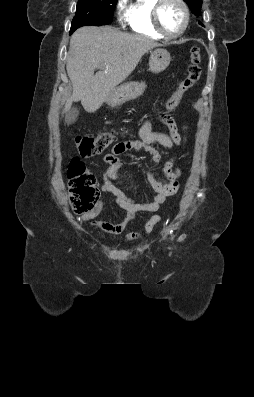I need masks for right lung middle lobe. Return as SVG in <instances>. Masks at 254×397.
<instances>
[{
	"mask_svg": "<svg viewBox=\"0 0 254 397\" xmlns=\"http://www.w3.org/2000/svg\"><path fill=\"white\" fill-rule=\"evenodd\" d=\"M117 0H78L71 30L86 25L101 26L112 22Z\"/></svg>",
	"mask_w": 254,
	"mask_h": 397,
	"instance_id": "1",
	"label": "right lung middle lobe"
}]
</instances>
